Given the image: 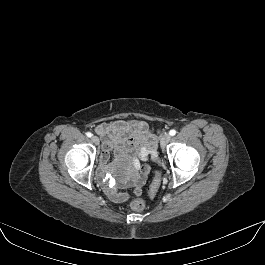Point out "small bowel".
Masks as SVG:
<instances>
[{
  "label": "small bowel",
  "instance_id": "1",
  "mask_svg": "<svg viewBox=\"0 0 265 265\" xmlns=\"http://www.w3.org/2000/svg\"><path fill=\"white\" fill-rule=\"evenodd\" d=\"M101 136L103 148L100 155V172L108 169L110 153L119 159H130L140 169L139 173L131 174L129 179L104 183L103 188L107 196L114 202L126 201L130 193L119 191L117 186L128 187L135 196H140L149 173L145 162L156 159V135L148 124L141 120H114L101 123L96 127Z\"/></svg>",
  "mask_w": 265,
  "mask_h": 265
}]
</instances>
